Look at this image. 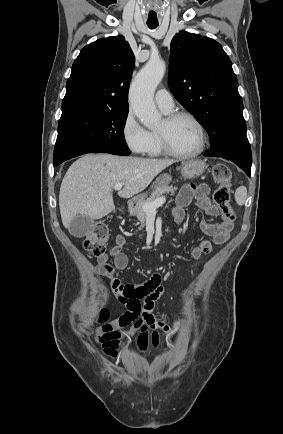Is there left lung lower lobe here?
I'll list each match as a JSON object with an SVG mask.
<instances>
[{"label": "left lung lower lobe", "mask_w": 283, "mask_h": 434, "mask_svg": "<svg viewBox=\"0 0 283 434\" xmlns=\"http://www.w3.org/2000/svg\"><path fill=\"white\" fill-rule=\"evenodd\" d=\"M205 156H207V154H205ZM251 164H252V161H245V162L238 163V166L241 169H243L248 176H250Z\"/></svg>", "instance_id": "obj_1"}]
</instances>
